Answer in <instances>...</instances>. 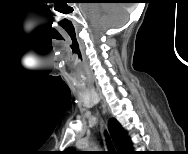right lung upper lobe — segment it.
<instances>
[{
	"mask_svg": "<svg viewBox=\"0 0 188 154\" xmlns=\"http://www.w3.org/2000/svg\"><path fill=\"white\" fill-rule=\"evenodd\" d=\"M109 131L119 153L129 154L133 151L132 143L128 140L126 131L116 119L110 121ZM66 151L69 153L74 152L72 148H68Z\"/></svg>",
	"mask_w": 188,
	"mask_h": 154,
	"instance_id": "obj_1",
	"label": "right lung upper lobe"
}]
</instances>
